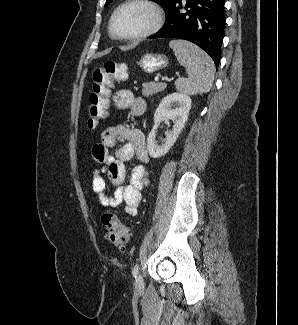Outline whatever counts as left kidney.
Listing matches in <instances>:
<instances>
[{
  "mask_svg": "<svg viewBox=\"0 0 298 325\" xmlns=\"http://www.w3.org/2000/svg\"><path fill=\"white\" fill-rule=\"evenodd\" d=\"M191 104L192 98L187 96V94H181V92H170V94H166V96L162 98L159 106H157L154 112V124L147 138L150 156H153V158H160V156H164V154L170 150L171 146L176 142L177 136H179L182 128H184ZM165 118L173 120V128L165 132L166 138H164V144H156L155 136L157 128L161 120H165Z\"/></svg>",
  "mask_w": 298,
  "mask_h": 325,
  "instance_id": "left-kidney-1",
  "label": "left kidney"
}]
</instances>
